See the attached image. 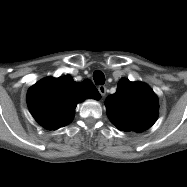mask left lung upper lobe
Masks as SVG:
<instances>
[{
  "label": "left lung upper lobe",
  "mask_w": 187,
  "mask_h": 187,
  "mask_svg": "<svg viewBox=\"0 0 187 187\" xmlns=\"http://www.w3.org/2000/svg\"><path fill=\"white\" fill-rule=\"evenodd\" d=\"M107 116L121 131L142 132L150 128L158 117L159 104L153 90L145 83L122 78L116 93L105 102Z\"/></svg>",
  "instance_id": "5c2ea615"
}]
</instances>
